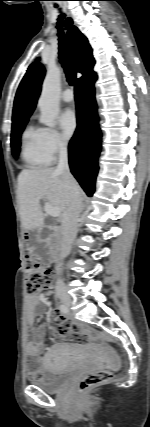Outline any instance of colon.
Returning <instances> with one entry per match:
<instances>
[{"label": "colon", "instance_id": "1", "mask_svg": "<svg viewBox=\"0 0 150 427\" xmlns=\"http://www.w3.org/2000/svg\"><path fill=\"white\" fill-rule=\"evenodd\" d=\"M25 270V289L29 296L35 297L52 286L54 279L52 270L43 265L38 258L31 253L30 248H26ZM111 378L112 373L107 370L92 372L80 381L78 386L79 392L85 393L88 390L107 382Z\"/></svg>", "mask_w": 150, "mask_h": 427}]
</instances>
